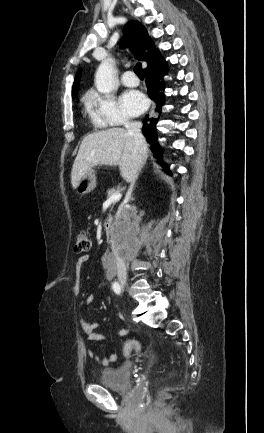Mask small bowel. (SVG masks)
I'll return each mask as SVG.
<instances>
[{"label": "small bowel", "mask_w": 264, "mask_h": 433, "mask_svg": "<svg viewBox=\"0 0 264 433\" xmlns=\"http://www.w3.org/2000/svg\"><path fill=\"white\" fill-rule=\"evenodd\" d=\"M89 260L87 255H82L76 260V282H75V291L76 294L81 298L82 303L84 305L90 304L94 300V296L92 294H84L80 289V276L83 269L84 264ZM101 286H104V283L101 282ZM80 325L84 333L87 335V338L91 342H103L104 337L97 332L98 324L95 322H87L85 320L80 321ZM121 335H126L128 332L125 329H121L119 331ZM88 356L99 363L100 365L107 366L116 361L117 356L115 354H111L109 357L100 358L94 350H88Z\"/></svg>", "instance_id": "small-bowel-1"}]
</instances>
